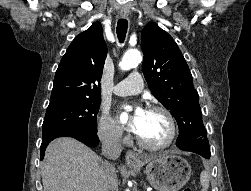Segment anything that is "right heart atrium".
I'll return each mask as SVG.
<instances>
[{
  "instance_id": "1",
  "label": "right heart atrium",
  "mask_w": 251,
  "mask_h": 191,
  "mask_svg": "<svg viewBox=\"0 0 251 191\" xmlns=\"http://www.w3.org/2000/svg\"><path fill=\"white\" fill-rule=\"evenodd\" d=\"M96 133L99 140L107 145H119L126 142L122 128L105 111H102L97 119Z\"/></svg>"
}]
</instances>
